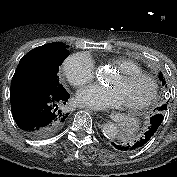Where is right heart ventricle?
I'll list each match as a JSON object with an SVG mask.
<instances>
[{"label": "right heart ventricle", "instance_id": "right-heart-ventricle-1", "mask_svg": "<svg viewBox=\"0 0 177 177\" xmlns=\"http://www.w3.org/2000/svg\"><path fill=\"white\" fill-rule=\"evenodd\" d=\"M110 63L116 66L121 73L142 72L141 66L129 58H116L111 60Z\"/></svg>", "mask_w": 177, "mask_h": 177}]
</instances>
